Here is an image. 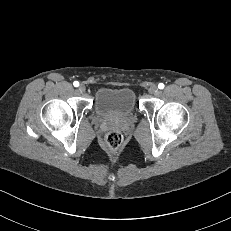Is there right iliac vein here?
<instances>
[{
  "instance_id": "right-iliac-vein-1",
  "label": "right iliac vein",
  "mask_w": 231,
  "mask_h": 231,
  "mask_svg": "<svg viewBox=\"0 0 231 231\" xmlns=\"http://www.w3.org/2000/svg\"><path fill=\"white\" fill-rule=\"evenodd\" d=\"M78 89H79L80 92H85L86 91V87L83 84H81Z\"/></svg>"
}]
</instances>
